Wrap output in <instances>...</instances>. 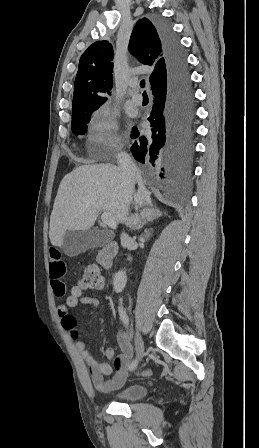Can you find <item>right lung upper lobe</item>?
Instances as JSON below:
<instances>
[{"label": "right lung upper lobe", "instance_id": "right-lung-upper-lobe-1", "mask_svg": "<svg viewBox=\"0 0 259 448\" xmlns=\"http://www.w3.org/2000/svg\"><path fill=\"white\" fill-rule=\"evenodd\" d=\"M129 51L141 63L154 66L149 78L152 92L167 84L161 37L156 25L147 18L139 19L135 25ZM113 56L112 45L108 41H96L83 53L74 84L72 111L100 106L107 100L105 95H111Z\"/></svg>", "mask_w": 259, "mask_h": 448}]
</instances>
